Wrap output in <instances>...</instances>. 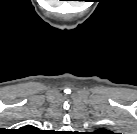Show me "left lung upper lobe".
Instances as JSON below:
<instances>
[{"label": "left lung upper lobe", "mask_w": 137, "mask_h": 134, "mask_svg": "<svg viewBox=\"0 0 137 134\" xmlns=\"http://www.w3.org/2000/svg\"><path fill=\"white\" fill-rule=\"evenodd\" d=\"M97 133H99V134H111L110 131H108L106 129H98Z\"/></svg>", "instance_id": "obj_1"}]
</instances>
